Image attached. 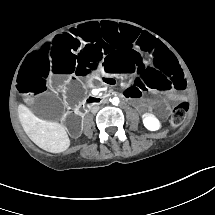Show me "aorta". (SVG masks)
<instances>
[{"label": "aorta", "instance_id": "762f6f07", "mask_svg": "<svg viewBox=\"0 0 215 215\" xmlns=\"http://www.w3.org/2000/svg\"><path fill=\"white\" fill-rule=\"evenodd\" d=\"M119 102H120V100H119V98H118V97H113V98H112L111 103H112L113 105H118V104H119Z\"/></svg>", "mask_w": 215, "mask_h": 215}]
</instances>
